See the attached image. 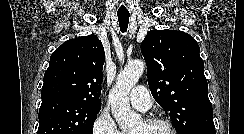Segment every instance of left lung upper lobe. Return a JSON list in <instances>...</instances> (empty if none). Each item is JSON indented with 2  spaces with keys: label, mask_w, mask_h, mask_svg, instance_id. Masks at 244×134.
<instances>
[{
  "label": "left lung upper lobe",
  "mask_w": 244,
  "mask_h": 134,
  "mask_svg": "<svg viewBox=\"0 0 244 134\" xmlns=\"http://www.w3.org/2000/svg\"><path fill=\"white\" fill-rule=\"evenodd\" d=\"M199 51L191 35L176 30H152L141 43L152 96L178 134L215 131Z\"/></svg>",
  "instance_id": "left-lung-upper-lobe-1"
}]
</instances>
